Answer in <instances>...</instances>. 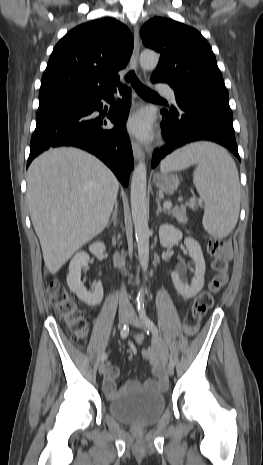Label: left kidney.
Wrapping results in <instances>:
<instances>
[{
  "label": "left kidney",
  "mask_w": 263,
  "mask_h": 465,
  "mask_svg": "<svg viewBox=\"0 0 263 465\" xmlns=\"http://www.w3.org/2000/svg\"><path fill=\"white\" fill-rule=\"evenodd\" d=\"M182 237V232L173 225L163 224L159 228V239L163 247H172ZM184 244L189 251V256L195 262V276L190 285L182 280L176 271L171 272V278L177 292L184 298L190 299L203 288L206 266L200 244L191 237L185 238Z\"/></svg>",
  "instance_id": "1"
}]
</instances>
